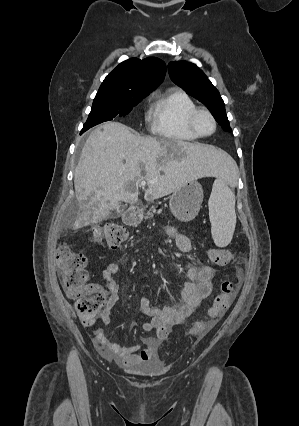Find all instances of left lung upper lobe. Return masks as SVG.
<instances>
[{
    "mask_svg": "<svg viewBox=\"0 0 299 426\" xmlns=\"http://www.w3.org/2000/svg\"><path fill=\"white\" fill-rule=\"evenodd\" d=\"M170 78L189 95L204 103L225 131H231L225 112V104L205 74L196 65L185 61L168 64Z\"/></svg>",
    "mask_w": 299,
    "mask_h": 426,
    "instance_id": "5c2ea615",
    "label": "left lung upper lobe"
}]
</instances>
